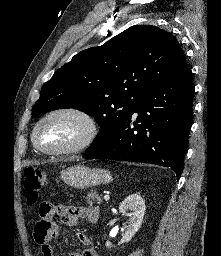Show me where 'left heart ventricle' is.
Instances as JSON below:
<instances>
[{
  "label": "left heart ventricle",
  "instance_id": "obj_1",
  "mask_svg": "<svg viewBox=\"0 0 221 256\" xmlns=\"http://www.w3.org/2000/svg\"><path fill=\"white\" fill-rule=\"evenodd\" d=\"M83 133L84 124L80 119L72 115H58L42 124L37 140L45 148H62L78 141Z\"/></svg>",
  "mask_w": 221,
  "mask_h": 256
}]
</instances>
